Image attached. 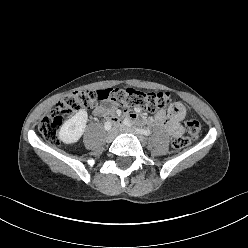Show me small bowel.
Listing matches in <instances>:
<instances>
[{
    "label": "small bowel",
    "mask_w": 248,
    "mask_h": 248,
    "mask_svg": "<svg viewBox=\"0 0 248 248\" xmlns=\"http://www.w3.org/2000/svg\"><path fill=\"white\" fill-rule=\"evenodd\" d=\"M115 105L109 99L100 100L94 108V114L102 118H109L113 124H118L119 120L114 115ZM186 109L180 102H175L168 109L159 110L153 117L145 118L128 112V118L142 123L163 126L166 132L172 137H179L183 134L181 121L184 119Z\"/></svg>",
    "instance_id": "obj_1"
}]
</instances>
